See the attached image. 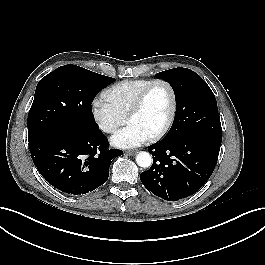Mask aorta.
Wrapping results in <instances>:
<instances>
[{
	"mask_svg": "<svg viewBox=\"0 0 265 265\" xmlns=\"http://www.w3.org/2000/svg\"><path fill=\"white\" fill-rule=\"evenodd\" d=\"M136 163L142 168H148L152 164V156L148 152L141 151L136 155Z\"/></svg>",
	"mask_w": 265,
	"mask_h": 265,
	"instance_id": "obj_1",
	"label": "aorta"
}]
</instances>
